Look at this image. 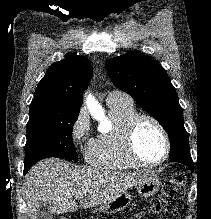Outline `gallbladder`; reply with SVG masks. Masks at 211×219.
Returning a JSON list of instances; mask_svg holds the SVG:
<instances>
[{
    "mask_svg": "<svg viewBox=\"0 0 211 219\" xmlns=\"http://www.w3.org/2000/svg\"><path fill=\"white\" fill-rule=\"evenodd\" d=\"M52 217L51 204L43 202L38 208L37 219H52Z\"/></svg>",
    "mask_w": 211,
    "mask_h": 219,
    "instance_id": "bac80fb5",
    "label": "gallbladder"
}]
</instances>
